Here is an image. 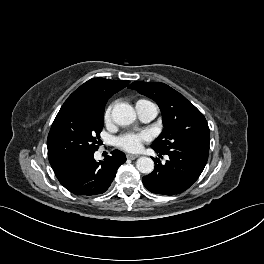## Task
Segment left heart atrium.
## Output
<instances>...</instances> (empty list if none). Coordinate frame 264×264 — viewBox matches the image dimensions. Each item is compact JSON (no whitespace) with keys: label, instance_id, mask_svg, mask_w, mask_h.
<instances>
[{"label":"left heart atrium","instance_id":"obj_1","mask_svg":"<svg viewBox=\"0 0 264 264\" xmlns=\"http://www.w3.org/2000/svg\"><path fill=\"white\" fill-rule=\"evenodd\" d=\"M148 139V134L144 132L126 133L117 139V145L126 151L136 152L140 150L142 143Z\"/></svg>","mask_w":264,"mask_h":264}]
</instances>
